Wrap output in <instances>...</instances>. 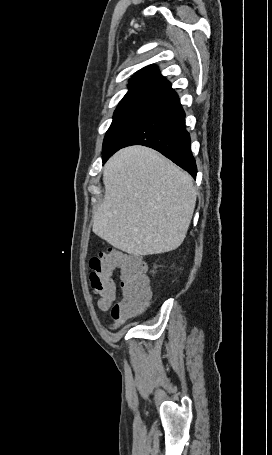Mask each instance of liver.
Here are the masks:
<instances>
[{
  "label": "liver",
  "instance_id": "6515ba94",
  "mask_svg": "<svg viewBox=\"0 0 272 455\" xmlns=\"http://www.w3.org/2000/svg\"><path fill=\"white\" fill-rule=\"evenodd\" d=\"M105 195L93 215V232L134 255L177 249L196 204L190 175L156 151L132 146L115 153L103 170Z\"/></svg>",
  "mask_w": 272,
  "mask_h": 455
}]
</instances>
